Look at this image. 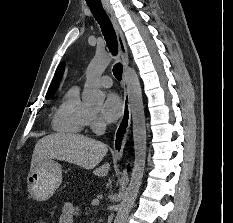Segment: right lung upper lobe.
Masks as SVG:
<instances>
[{
    "instance_id": "1",
    "label": "right lung upper lobe",
    "mask_w": 233,
    "mask_h": 223,
    "mask_svg": "<svg viewBox=\"0 0 233 223\" xmlns=\"http://www.w3.org/2000/svg\"><path fill=\"white\" fill-rule=\"evenodd\" d=\"M63 70H64V63H61L56 72H55V75H54V79L48 89V92H47V95H46V98L47 99H50L52 97V95L55 93V91L57 90L58 86H59V82L62 78V74H63Z\"/></svg>"
}]
</instances>
